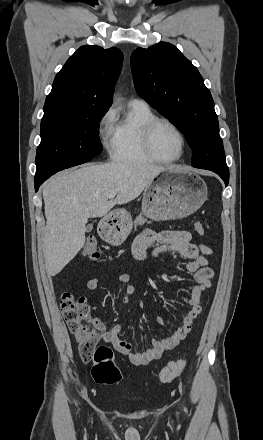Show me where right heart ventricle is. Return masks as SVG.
Returning a JSON list of instances; mask_svg holds the SVG:
<instances>
[{"mask_svg": "<svg viewBox=\"0 0 263 440\" xmlns=\"http://www.w3.org/2000/svg\"><path fill=\"white\" fill-rule=\"evenodd\" d=\"M155 114L149 106L130 104L129 114L116 125L111 156L119 162L152 161L141 145L142 126L153 119Z\"/></svg>", "mask_w": 263, "mask_h": 440, "instance_id": "e07e8e85", "label": "right heart ventricle"}]
</instances>
